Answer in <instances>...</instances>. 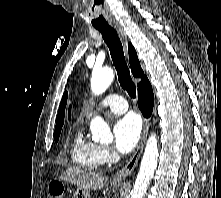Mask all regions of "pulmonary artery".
I'll list each match as a JSON object with an SVG mask.
<instances>
[{"label":"pulmonary artery","mask_w":221,"mask_h":198,"mask_svg":"<svg viewBox=\"0 0 221 198\" xmlns=\"http://www.w3.org/2000/svg\"><path fill=\"white\" fill-rule=\"evenodd\" d=\"M103 108H109L112 112L122 114L127 111L128 103L127 101L120 95L112 94L105 97L94 110L88 113V117H91L98 110Z\"/></svg>","instance_id":"pulmonary-artery-1"}]
</instances>
